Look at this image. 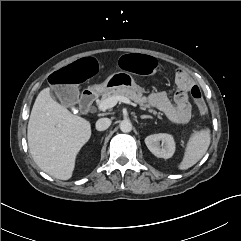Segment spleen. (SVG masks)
Segmentation results:
<instances>
[{"mask_svg": "<svg viewBox=\"0 0 241 241\" xmlns=\"http://www.w3.org/2000/svg\"><path fill=\"white\" fill-rule=\"evenodd\" d=\"M210 141L211 135L209 128L194 132L187 142L184 156L178 169L187 170L195 165L207 152Z\"/></svg>", "mask_w": 241, "mask_h": 241, "instance_id": "obj_1", "label": "spleen"}]
</instances>
